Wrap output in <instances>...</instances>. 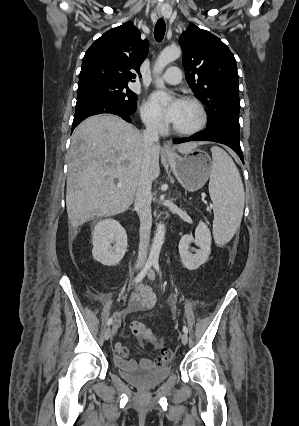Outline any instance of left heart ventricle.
Masks as SVG:
<instances>
[{"instance_id": "left-heart-ventricle-1", "label": "left heart ventricle", "mask_w": 299, "mask_h": 426, "mask_svg": "<svg viewBox=\"0 0 299 426\" xmlns=\"http://www.w3.org/2000/svg\"><path fill=\"white\" fill-rule=\"evenodd\" d=\"M199 114L196 107L190 103L182 102V106L174 125L180 129H188L197 124Z\"/></svg>"}]
</instances>
